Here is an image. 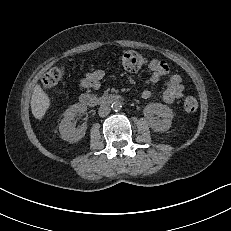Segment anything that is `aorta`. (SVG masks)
<instances>
[{"mask_svg":"<svg viewBox=\"0 0 231 231\" xmlns=\"http://www.w3.org/2000/svg\"><path fill=\"white\" fill-rule=\"evenodd\" d=\"M111 107L114 111H119L122 108V104L120 101L117 100L112 103Z\"/></svg>","mask_w":231,"mask_h":231,"instance_id":"1","label":"aorta"}]
</instances>
